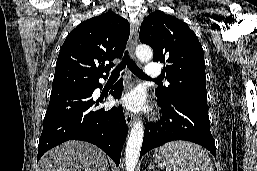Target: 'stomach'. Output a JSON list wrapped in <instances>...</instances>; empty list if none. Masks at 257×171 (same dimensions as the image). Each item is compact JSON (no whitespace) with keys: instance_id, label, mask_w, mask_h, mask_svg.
Returning <instances> with one entry per match:
<instances>
[{"instance_id":"0dacf381","label":"stomach","mask_w":257,"mask_h":171,"mask_svg":"<svg viewBox=\"0 0 257 171\" xmlns=\"http://www.w3.org/2000/svg\"><path fill=\"white\" fill-rule=\"evenodd\" d=\"M154 160L156 163H158V165L163 164L166 166L165 156L161 150L154 155ZM160 162H162V163H160Z\"/></svg>"}]
</instances>
